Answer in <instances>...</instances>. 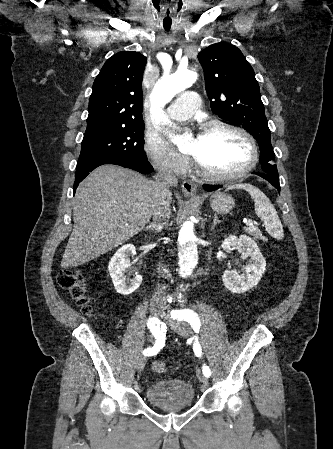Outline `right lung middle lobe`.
I'll list each match as a JSON object with an SVG mask.
<instances>
[{
	"mask_svg": "<svg viewBox=\"0 0 333 449\" xmlns=\"http://www.w3.org/2000/svg\"><path fill=\"white\" fill-rule=\"evenodd\" d=\"M143 122L87 127L79 159L113 157L147 161L143 149Z\"/></svg>",
	"mask_w": 333,
	"mask_h": 449,
	"instance_id": "dd1d6c3e",
	"label": "right lung middle lobe"
}]
</instances>
